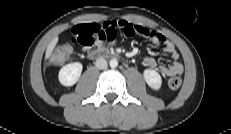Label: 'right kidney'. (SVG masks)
Masks as SVG:
<instances>
[{
	"mask_svg": "<svg viewBox=\"0 0 231 134\" xmlns=\"http://www.w3.org/2000/svg\"><path fill=\"white\" fill-rule=\"evenodd\" d=\"M82 64L74 62L63 66L59 71V81L64 86H73L80 78L82 72Z\"/></svg>",
	"mask_w": 231,
	"mask_h": 134,
	"instance_id": "obj_1",
	"label": "right kidney"
}]
</instances>
